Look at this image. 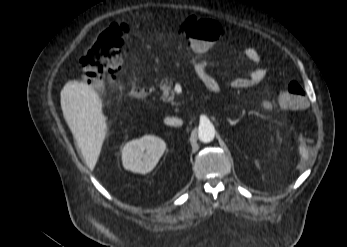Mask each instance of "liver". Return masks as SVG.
<instances>
[{"instance_id": "obj_1", "label": "liver", "mask_w": 347, "mask_h": 247, "mask_svg": "<svg viewBox=\"0 0 347 247\" xmlns=\"http://www.w3.org/2000/svg\"><path fill=\"white\" fill-rule=\"evenodd\" d=\"M102 107L99 94L82 81H69L61 90L63 116L90 170L98 161L108 130Z\"/></svg>"}]
</instances>
